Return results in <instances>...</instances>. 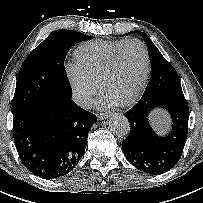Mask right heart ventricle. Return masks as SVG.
I'll return each mask as SVG.
<instances>
[{
	"label": "right heart ventricle",
	"mask_w": 203,
	"mask_h": 203,
	"mask_svg": "<svg viewBox=\"0 0 203 203\" xmlns=\"http://www.w3.org/2000/svg\"><path fill=\"white\" fill-rule=\"evenodd\" d=\"M125 40L95 41L79 46L75 51L76 63L96 82L114 51Z\"/></svg>",
	"instance_id": "1"
}]
</instances>
